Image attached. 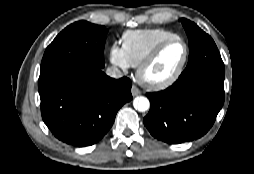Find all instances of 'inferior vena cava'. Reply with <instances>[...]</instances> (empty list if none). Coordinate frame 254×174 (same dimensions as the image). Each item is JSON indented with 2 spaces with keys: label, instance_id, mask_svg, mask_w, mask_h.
I'll return each mask as SVG.
<instances>
[{
  "label": "inferior vena cava",
  "instance_id": "obj_1",
  "mask_svg": "<svg viewBox=\"0 0 254 174\" xmlns=\"http://www.w3.org/2000/svg\"><path fill=\"white\" fill-rule=\"evenodd\" d=\"M106 74L112 78L118 79L123 76L121 70L116 66H111L106 69Z\"/></svg>",
  "mask_w": 254,
  "mask_h": 174
}]
</instances>
